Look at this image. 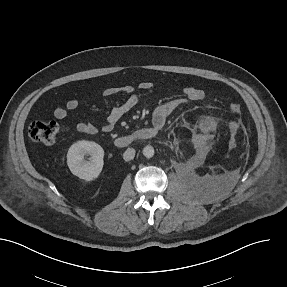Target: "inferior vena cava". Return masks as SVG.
<instances>
[{
  "label": "inferior vena cava",
  "mask_w": 287,
  "mask_h": 287,
  "mask_svg": "<svg viewBox=\"0 0 287 287\" xmlns=\"http://www.w3.org/2000/svg\"><path fill=\"white\" fill-rule=\"evenodd\" d=\"M135 149H133V148H128L125 152H124V154H123V159L125 160V161H129V160H132L133 158H134V156H135Z\"/></svg>",
  "instance_id": "1"
}]
</instances>
